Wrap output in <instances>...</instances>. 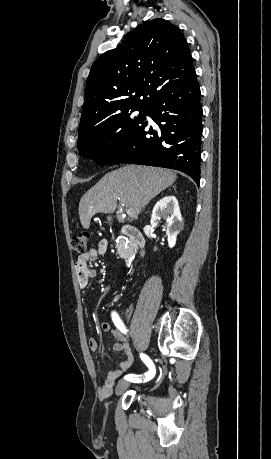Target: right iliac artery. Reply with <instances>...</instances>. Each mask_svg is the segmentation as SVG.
Instances as JSON below:
<instances>
[{
  "mask_svg": "<svg viewBox=\"0 0 271 459\" xmlns=\"http://www.w3.org/2000/svg\"><path fill=\"white\" fill-rule=\"evenodd\" d=\"M112 320L115 324V326L122 332V333H126L128 330L125 328L124 326V323L122 322V320L120 319V317L118 316V314L116 312H113L112 313ZM140 357L142 359V361L147 365V367L149 369H147V373H138V375H135V374H128L126 375L124 378L128 381H131V382H136L138 380H140L141 382H149L150 381V378L153 377V374H154V371H156V366H155V363H152V361L150 360V358L141 353L140 354Z\"/></svg>",
  "mask_w": 271,
  "mask_h": 459,
  "instance_id": "82829eb1",
  "label": "right iliac artery"
}]
</instances>
